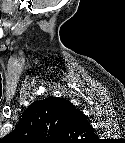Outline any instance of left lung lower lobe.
I'll use <instances>...</instances> for the list:
<instances>
[{
	"instance_id": "left-lung-lower-lobe-1",
	"label": "left lung lower lobe",
	"mask_w": 125,
	"mask_h": 143,
	"mask_svg": "<svg viewBox=\"0 0 125 143\" xmlns=\"http://www.w3.org/2000/svg\"><path fill=\"white\" fill-rule=\"evenodd\" d=\"M82 118H84V114L78 109H76L71 102H69L66 105V113H65L66 124L70 125L72 124L73 121L77 122Z\"/></svg>"
}]
</instances>
